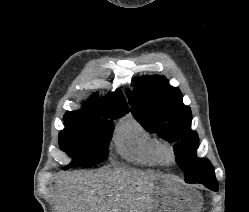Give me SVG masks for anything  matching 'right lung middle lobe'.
<instances>
[{
	"instance_id": "obj_1",
	"label": "right lung middle lobe",
	"mask_w": 249,
	"mask_h": 212,
	"mask_svg": "<svg viewBox=\"0 0 249 212\" xmlns=\"http://www.w3.org/2000/svg\"><path fill=\"white\" fill-rule=\"evenodd\" d=\"M126 113L91 108L68 111L64 116L65 129L59 134V145L73 160L64 169L91 167L105 161L114 130L113 120Z\"/></svg>"
}]
</instances>
